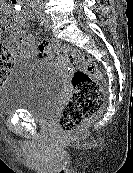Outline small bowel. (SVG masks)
<instances>
[{
  "instance_id": "c3829d8e",
  "label": "small bowel",
  "mask_w": 133,
  "mask_h": 173,
  "mask_svg": "<svg viewBox=\"0 0 133 173\" xmlns=\"http://www.w3.org/2000/svg\"><path fill=\"white\" fill-rule=\"evenodd\" d=\"M15 21L21 23L22 17L15 16ZM10 53L19 57H33L36 54V40L34 35L31 32L17 35L14 43L10 47Z\"/></svg>"
}]
</instances>
